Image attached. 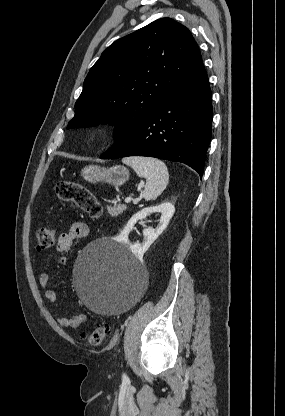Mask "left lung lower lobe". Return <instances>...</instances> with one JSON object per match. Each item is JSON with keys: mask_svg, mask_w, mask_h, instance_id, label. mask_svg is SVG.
Wrapping results in <instances>:
<instances>
[{"mask_svg": "<svg viewBox=\"0 0 285 416\" xmlns=\"http://www.w3.org/2000/svg\"><path fill=\"white\" fill-rule=\"evenodd\" d=\"M212 118V93L201 63L179 89L100 158L148 156L182 162L202 177Z\"/></svg>", "mask_w": 285, "mask_h": 416, "instance_id": "left-lung-lower-lobe-1", "label": "left lung lower lobe"}]
</instances>
